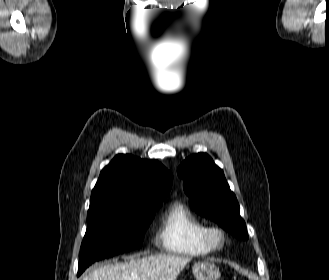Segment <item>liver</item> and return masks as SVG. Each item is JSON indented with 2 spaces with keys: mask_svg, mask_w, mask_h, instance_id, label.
<instances>
[{
  "mask_svg": "<svg viewBox=\"0 0 329 280\" xmlns=\"http://www.w3.org/2000/svg\"><path fill=\"white\" fill-rule=\"evenodd\" d=\"M191 259L169 254L131 257L125 262L93 268L82 280H176Z\"/></svg>",
  "mask_w": 329,
  "mask_h": 280,
  "instance_id": "1",
  "label": "liver"
}]
</instances>
